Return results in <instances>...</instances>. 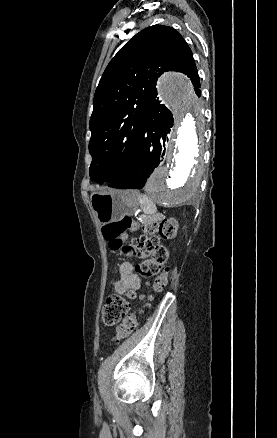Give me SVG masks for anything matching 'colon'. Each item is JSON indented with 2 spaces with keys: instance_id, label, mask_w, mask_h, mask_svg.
<instances>
[{
  "instance_id": "1",
  "label": "colon",
  "mask_w": 277,
  "mask_h": 438,
  "mask_svg": "<svg viewBox=\"0 0 277 438\" xmlns=\"http://www.w3.org/2000/svg\"><path fill=\"white\" fill-rule=\"evenodd\" d=\"M132 230L141 231L143 234L127 245L124 237ZM176 230L177 222L174 219L157 221L146 218L141 223H135L128 215L103 227L104 236L108 239L113 251L150 258L140 262L136 271L141 277H154L153 289L156 292L162 291L168 281L169 253L167 248L160 243V238L172 240L176 237ZM128 307V295L118 294L108 297L103 306V323L106 326L116 325L123 320L117 328V341L133 333L138 323V316L143 312V308L140 307L135 313L128 315Z\"/></svg>"
}]
</instances>
